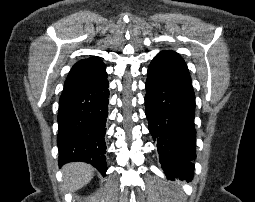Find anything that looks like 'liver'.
<instances>
[{"label":"liver","mask_w":255,"mask_h":202,"mask_svg":"<svg viewBox=\"0 0 255 202\" xmlns=\"http://www.w3.org/2000/svg\"><path fill=\"white\" fill-rule=\"evenodd\" d=\"M64 183L69 192L87 185L94 176V168L85 163H69L63 167Z\"/></svg>","instance_id":"6515ba94"}]
</instances>
